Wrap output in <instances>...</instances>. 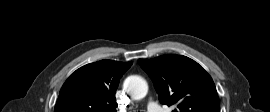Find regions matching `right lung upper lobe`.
Here are the masks:
<instances>
[{
  "label": "right lung upper lobe",
  "instance_id": "1",
  "mask_svg": "<svg viewBox=\"0 0 270 112\" xmlns=\"http://www.w3.org/2000/svg\"><path fill=\"white\" fill-rule=\"evenodd\" d=\"M131 65L105 59L79 68L62 86L54 112H116L115 92Z\"/></svg>",
  "mask_w": 270,
  "mask_h": 112
}]
</instances>
